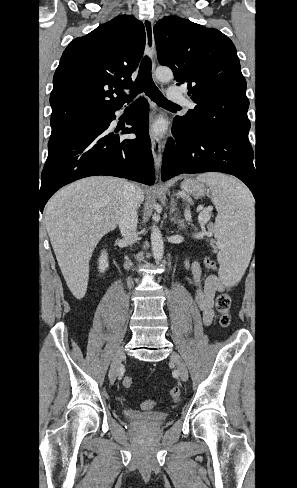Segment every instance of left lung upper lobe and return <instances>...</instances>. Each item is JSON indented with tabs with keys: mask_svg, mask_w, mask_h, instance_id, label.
Wrapping results in <instances>:
<instances>
[{
	"mask_svg": "<svg viewBox=\"0 0 297 488\" xmlns=\"http://www.w3.org/2000/svg\"><path fill=\"white\" fill-rule=\"evenodd\" d=\"M157 57L170 67L177 85L188 87L196 103L176 117L188 131L214 132L249 143L247 83L233 42L214 28L180 17H164L154 26Z\"/></svg>",
	"mask_w": 297,
	"mask_h": 488,
	"instance_id": "left-lung-upper-lobe-1",
	"label": "left lung upper lobe"
}]
</instances>
